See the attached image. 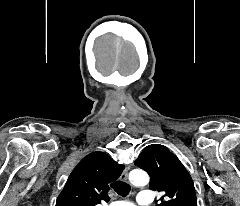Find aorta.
Returning <instances> with one entry per match:
<instances>
[{
	"mask_svg": "<svg viewBox=\"0 0 240 206\" xmlns=\"http://www.w3.org/2000/svg\"><path fill=\"white\" fill-rule=\"evenodd\" d=\"M130 182L135 186H144L149 182V176L142 170H133L129 175Z\"/></svg>",
	"mask_w": 240,
	"mask_h": 206,
	"instance_id": "obj_1",
	"label": "aorta"
}]
</instances>
